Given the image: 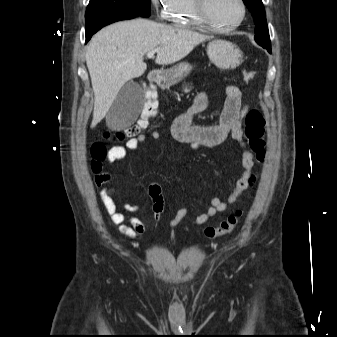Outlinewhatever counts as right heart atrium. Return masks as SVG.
I'll list each match as a JSON object with an SVG mask.
<instances>
[{"instance_id": "obj_1", "label": "right heart atrium", "mask_w": 337, "mask_h": 337, "mask_svg": "<svg viewBox=\"0 0 337 337\" xmlns=\"http://www.w3.org/2000/svg\"><path fill=\"white\" fill-rule=\"evenodd\" d=\"M151 3L155 7L160 19L169 18V13L174 4V0H151Z\"/></svg>"}]
</instances>
